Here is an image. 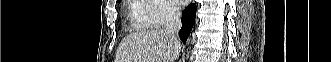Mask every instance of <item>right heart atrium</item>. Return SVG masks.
I'll return each instance as SVG.
<instances>
[{
	"mask_svg": "<svg viewBox=\"0 0 331 62\" xmlns=\"http://www.w3.org/2000/svg\"><path fill=\"white\" fill-rule=\"evenodd\" d=\"M140 3L149 11L147 25L151 28H159L179 15L178 7L169 0H141Z\"/></svg>",
	"mask_w": 331,
	"mask_h": 62,
	"instance_id": "1",
	"label": "right heart atrium"
}]
</instances>
